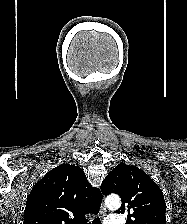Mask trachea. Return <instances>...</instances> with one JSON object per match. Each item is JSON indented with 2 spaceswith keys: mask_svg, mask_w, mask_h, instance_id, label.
<instances>
[{
  "mask_svg": "<svg viewBox=\"0 0 187 224\" xmlns=\"http://www.w3.org/2000/svg\"><path fill=\"white\" fill-rule=\"evenodd\" d=\"M92 224H101L100 218L97 217L92 221Z\"/></svg>",
  "mask_w": 187,
  "mask_h": 224,
  "instance_id": "1",
  "label": "trachea"
}]
</instances>
